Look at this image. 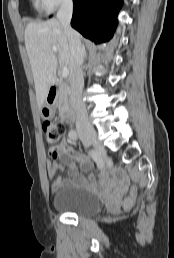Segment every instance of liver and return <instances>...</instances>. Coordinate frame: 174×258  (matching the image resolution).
<instances>
[{
  "mask_svg": "<svg viewBox=\"0 0 174 258\" xmlns=\"http://www.w3.org/2000/svg\"><path fill=\"white\" fill-rule=\"evenodd\" d=\"M25 46L32 68L38 107L46 101L49 89L56 83V70L70 65L71 52L63 27L57 19L29 23L25 29ZM55 46L58 57L52 50Z\"/></svg>",
  "mask_w": 174,
  "mask_h": 258,
  "instance_id": "obj_1",
  "label": "liver"
}]
</instances>
